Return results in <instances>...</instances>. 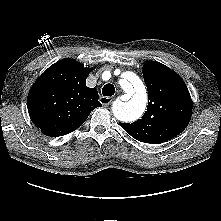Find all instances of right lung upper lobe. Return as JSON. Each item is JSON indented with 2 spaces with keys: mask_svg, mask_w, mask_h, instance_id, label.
I'll list each match as a JSON object with an SVG mask.
<instances>
[{
  "mask_svg": "<svg viewBox=\"0 0 221 221\" xmlns=\"http://www.w3.org/2000/svg\"><path fill=\"white\" fill-rule=\"evenodd\" d=\"M91 69L63 59L49 67L33 84L27 108L42 133L63 136L79 128L90 112L101 107L98 92L86 86Z\"/></svg>",
  "mask_w": 221,
  "mask_h": 221,
  "instance_id": "obj_1",
  "label": "right lung upper lobe"
}]
</instances>
